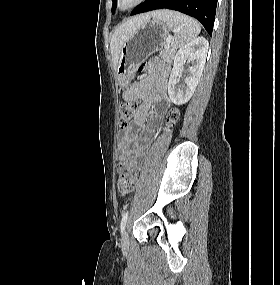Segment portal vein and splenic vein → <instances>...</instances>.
I'll return each mask as SVG.
<instances>
[{
	"instance_id": "1",
	"label": "portal vein and splenic vein",
	"mask_w": 280,
	"mask_h": 285,
	"mask_svg": "<svg viewBox=\"0 0 280 285\" xmlns=\"http://www.w3.org/2000/svg\"><path fill=\"white\" fill-rule=\"evenodd\" d=\"M170 42H171V39L167 38V40H166V47H169Z\"/></svg>"
}]
</instances>
